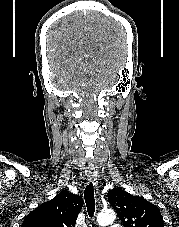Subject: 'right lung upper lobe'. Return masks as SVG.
Returning <instances> with one entry per match:
<instances>
[{
    "label": "right lung upper lobe",
    "mask_w": 179,
    "mask_h": 227,
    "mask_svg": "<svg viewBox=\"0 0 179 227\" xmlns=\"http://www.w3.org/2000/svg\"><path fill=\"white\" fill-rule=\"evenodd\" d=\"M82 206L79 195L62 191L29 213L21 227H75Z\"/></svg>",
    "instance_id": "obj_1"
}]
</instances>
